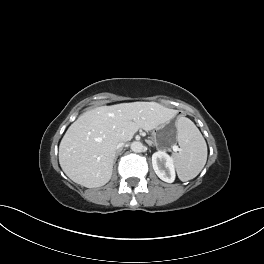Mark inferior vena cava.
<instances>
[{"instance_id": "inferior-vena-cava-1", "label": "inferior vena cava", "mask_w": 264, "mask_h": 264, "mask_svg": "<svg viewBox=\"0 0 264 264\" xmlns=\"http://www.w3.org/2000/svg\"><path fill=\"white\" fill-rule=\"evenodd\" d=\"M123 145H124V142L120 141V142L117 144L116 149L121 148Z\"/></svg>"}]
</instances>
